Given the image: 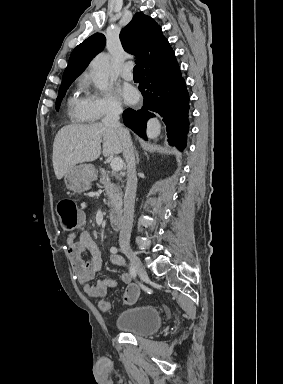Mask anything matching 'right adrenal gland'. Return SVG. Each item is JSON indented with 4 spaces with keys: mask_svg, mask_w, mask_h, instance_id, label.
<instances>
[{
    "mask_svg": "<svg viewBox=\"0 0 283 384\" xmlns=\"http://www.w3.org/2000/svg\"><path fill=\"white\" fill-rule=\"evenodd\" d=\"M133 150H134V154L136 156V164H139V154H138L136 148H133Z\"/></svg>",
    "mask_w": 283,
    "mask_h": 384,
    "instance_id": "obj_1",
    "label": "right adrenal gland"
}]
</instances>
